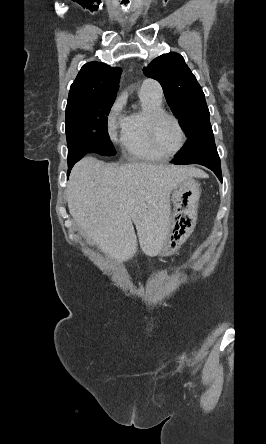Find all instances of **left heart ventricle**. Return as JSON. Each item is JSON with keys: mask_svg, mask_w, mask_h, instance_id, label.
Instances as JSON below:
<instances>
[{"mask_svg": "<svg viewBox=\"0 0 266 444\" xmlns=\"http://www.w3.org/2000/svg\"><path fill=\"white\" fill-rule=\"evenodd\" d=\"M155 136L159 148L165 153H172L179 146V130L170 118H163L158 122Z\"/></svg>", "mask_w": 266, "mask_h": 444, "instance_id": "obj_1", "label": "left heart ventricle"}]
</instances>
